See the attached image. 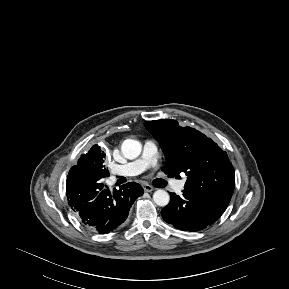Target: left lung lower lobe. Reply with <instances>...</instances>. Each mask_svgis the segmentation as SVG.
I'll use <instances>...</instances> for the list:
<instances>
[{"instance_id": "left-lung-lower-lobe-1", "label": "left lung lower lobe", "mask_w": 289, "mask_h": 289, "mask_svg": "<svg viewBox=\"0 0 289 289\" xmlns=\"http://www.w3.org/2000/svg\"><path fill=\"white\" fill-rule=\"evenodd\" d=\"M170 196V202L162 209L161 215L167 223L184 231L205 229L219 219L228 206L191 189H184L181 197L175 193H170Z\"/></svg>"}]
</instances>
